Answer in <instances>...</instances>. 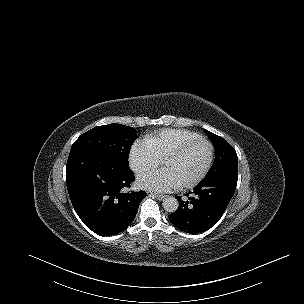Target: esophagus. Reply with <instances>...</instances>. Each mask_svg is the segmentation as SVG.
Returning <instances> with one entry per match:
<instances>
[{
  "instance_id": "1",
  "label": "esophagus",
  "mask_w": 304,
  "mask_h": 304,
  "mask_svg": "<svg viewBox=\"0 0 304 304\" xmlns=\"http://www.w3.org/2000/svg\"><path fill=\"white\" fill-rule=\"evenodd\" d=\"M153 196H154L155 198L159 199V200H163V199L166 198L165 195H159V194H153Z\"/></svg>"
}]
</instances>
